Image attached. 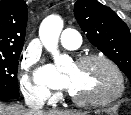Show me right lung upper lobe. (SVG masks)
I'll return each mask as SVG.
<instances>
[{"instance_id": "1", "label": "right lung upper lobe", "mask_w": 131, "mask_h": 115, "mask_svg": "<svg viewBox=\"0 0 131 115\" xmlns=\"http://www.w3.org/2000/svg\"><path fill=\"white\" fill-rule=\"evenodd\" d=\"M27 19L23 0L0 1V54L22 51Z\"/></svg>"}]
</instances>
